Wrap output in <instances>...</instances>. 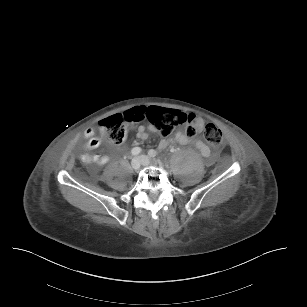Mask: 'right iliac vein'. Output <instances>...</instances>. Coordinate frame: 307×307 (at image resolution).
I'll list each match as a JSON object with an SVG mask.
<instances>
[{
    "label": "right iliac vein",
    "mask_w": 307,
    "mask_h": 307,
    "mask_svg": "<svg viewBox=\"0 0 307 307\" xmlns=\"http://www.w3.org/2000/svg\"><path fill=\"white\" fill-rule=\"evenodd\" d=\"M140 166H141L140 159H139L138 157H134V158L131 160V167H132V169H134V170H139V169H140Z\"/></svg>",
    "instance_id": "63e3f726"
}]
</instances>
